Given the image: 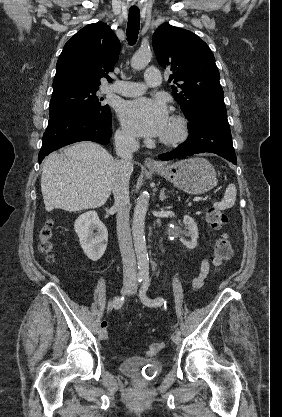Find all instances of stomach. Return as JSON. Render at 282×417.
<instances>
[{"instance_id": "stomach-1", "label": "stomach", "mask_w": 282, "mask_h": 417, "mask_svg": "<svg viewBox=\"0 0 282 417\" xmlns=\"http://www.w3.org/2000/svg\"><path fill=\"white\" fill-rule=\"evenodd\" d=\"M153 170L189 194L208 192L218 182L214 166L202 156L177 160L172 164L163 162V166H158Z\"/></svg>"}]
</instances>
